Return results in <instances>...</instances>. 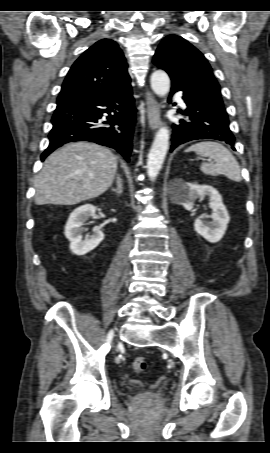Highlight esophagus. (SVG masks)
Masks as SVG:
<instances>
[{"instance_id":"34e87169","label":"esophagus","mask_w":270,"mask_h":453,"mask_svg":"<svg viewBox=\"0 0 270 453\" xmlns=\"http://www.w3.org/2000/svg\"><path fill=\"white\" fill-rule=\"evenodd\" d=\"M147 118L150 129L156 130L161 124L160 105L150 92H146Z\"/></svg>"}]
</instances>
